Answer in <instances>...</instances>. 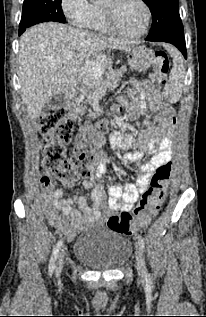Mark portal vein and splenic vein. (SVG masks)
Here are the masks:
<instances>
[{"label":"portal vein and splenic vein","mask_w":206,"mask_h":317,"mask_svg":"<svg viewBox=\"0 0 206 317\" xmlns=\"http://www.w3.org/2000/svg\"><path fill=\"white\" fill-rule=\"evenodd\" d=\"M74 57L73 52H67L63 55L62 59L59 61L60 63H67L68 61L72 60Z\"/></svg>","instance_id":"obj_1"}]
</instances>
